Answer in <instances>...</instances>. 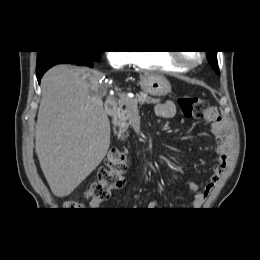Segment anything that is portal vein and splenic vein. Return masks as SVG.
I'll return each instance as SVG.
<instances>
[{
    "label": "portal vein and splenic vein",
    "mask_w": 260,
    "mask_h": 260,
    "mask_svg": "<svg viewBox=\"0 0 260 260\" xmlns=\"http://www.w3.org/2000/svg\"><path fill=\"white\" fill-rule=\"evenodd\" d=\"M119 97L122 98V99H124V98L126 97V95L123 94V93H119ZM135 110H137V109H135ZM135 110H134V111H135Z\"/></svg>",
    "instance_id": "obj_1"
}]
</instances>
